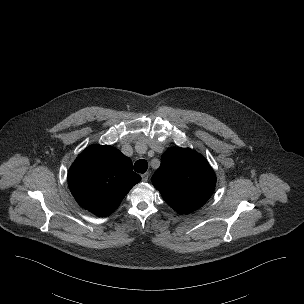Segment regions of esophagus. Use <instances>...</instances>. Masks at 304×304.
Wrapping results in <instances>:
<instances>
[{"instance_id":"1","label":"esophagus","mask_w":304,"mask_h":304,"mask_svg":"<svg viewBox=\"0 0 304 304\" xmlns=\"http://www.w3.org/2000/svg\"><path fill=\"white\" fill-rule=\"evenodd\" d=\"M142 181L147 182L149 179V173H144L141 175Z\"/></svg>"}]
</instances>
